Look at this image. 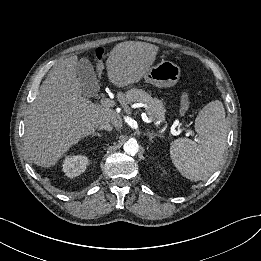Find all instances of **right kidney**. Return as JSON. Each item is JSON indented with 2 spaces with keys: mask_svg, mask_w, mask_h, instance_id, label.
<instances>
[{
  "mask_svg": "<svg viewBox=\"0 0 261 261\" xmlns=\"http://www.w3.org/2000/svg\"><path fill=\"white\" fill-rule=\"evenodd\" d=\"M88 165V158L84 155L67 156L63 162V171L67 177L82 174Z\"/></svg>",
  "mask_w": 261,
  "mask_h": 261,
  "instance_id": "ca27d5eb",
  "label": "right kidney"
}]
</instances>
